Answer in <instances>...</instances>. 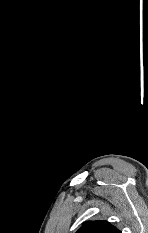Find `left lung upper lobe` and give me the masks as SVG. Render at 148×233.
I'll return each instance as SVG.
<instances>
[{
  "mask_svg": "<svg viewBox=\"0 0 148 233\" xmlns=\"http://www.w3.org/2000/svg\"><path fill=\"white\" fill-rule=\"evenodd\" d=\"M76 233H121L107 221H87Z\"/></svg>",
  "mask_w": 148,
  "mask_h": 233,
  "instance_id": "left-lung-upper-lobe-1",
  "label": "left lung upper lobe"
}]
</instances>
